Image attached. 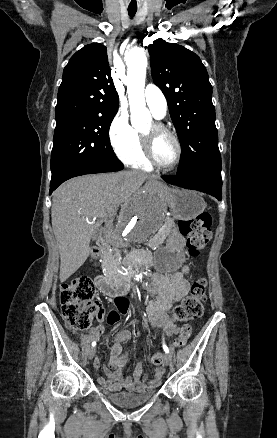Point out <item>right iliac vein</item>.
Returning <instances> with one entry per match:
<instances>
[{
	"mask_svg": "<svg viewBox=\"0 0 277 438\" xmlns=\"http://www.w3.org/2000/svg\"><path fill=\"white\" fill-rule=\"evenodd\" d=\"M95 353H96V349L94 348V347H91L89 350H88V358L91 360V359H93V357L95 356Z\"/></svg>",
	"mask_w": 277,
	"mask_h": 438,
	"instance_id": "right-iliac-vein-1",
	"label": "right iliac vein"
}]
</instances>
